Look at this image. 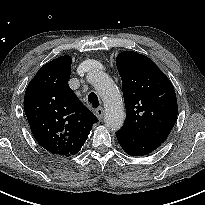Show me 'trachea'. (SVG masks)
Here are the masks:
<instances>
[{
	"label": "trachea",
	"mask_w": 205,
	"mask_h": 205,
	"mask_svg": "<svg viewBox=\"0 0 205 205\" xmlns=\"http://www.w3.org/2000/svg\"><path fill=\"white\" fill-rule=\"evenodd\" d=\"M88 101L90 102L91 106L93 108H97L99 106V100H98V97L95 93L91 92L89 95H88Z\"/></svg>",
	"instance_id": "3493384b"
}]
</instances>
